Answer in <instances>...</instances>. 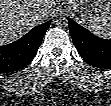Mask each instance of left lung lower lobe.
I'll use <instances>...</instances> for the list:
<instances>
[{
    "instance_id": "obj_1",
    "label": "left lung lower lobe",
    "mask_w": 111,
    "mask_h": 106,
    "mask_svg": "<svg viewBox=\"0 0 111 106\" xmlns=\"http://www.w3.org/2000/svg\"><path fill=\"white\" fill-rule=\"evenodd\" d=\"M72 40L82 58L98 68H111V40L94 36L68 18Z\"/></svg>"
}]
</instances>
